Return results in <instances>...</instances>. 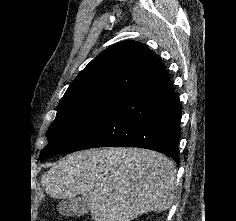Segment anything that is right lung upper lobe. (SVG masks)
I'll use <instances>...</instances> for the list:
<instances>
[{
  "mask_svg": "<svg viewBox=\"0 0 236 221\" xmlns=\"http://www.w3.org/2000/svg\"><path fill=\"white\" fill-rule=\"evenodd\" d=\"M159 57L136 41H121L101 52L70 84L59 104L105 90L137 92L166 75Z\"/></svg>",
  "mask_w": 236,
  "mask_h": 221,
  "instance_id": "obj_1",
  "label": "right lung upper lobe"
}]
</instances>
